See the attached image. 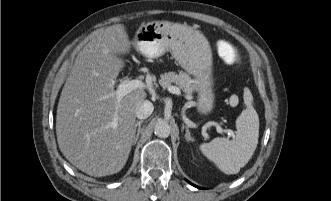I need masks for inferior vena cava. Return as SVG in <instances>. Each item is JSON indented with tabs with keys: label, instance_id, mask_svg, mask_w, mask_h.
<instances>
[{
	"label": "inferior vena cava",
	"instance_id": "1",
	"mask_svg": "<svg viewBox=\"0 0 331 201\" xmlns=\"http://www.w3.org/2000/svg\"><path fill=\"white\" fill-rule=\"evenodd\" d=\"M153 110V104L148 100H144L136 107L135 114L138 119H146L152 114Z\"/></svg>",
	"mask_w": 331,
	"mask_h": 201
}]
</instances>
